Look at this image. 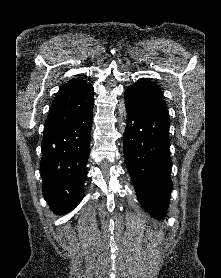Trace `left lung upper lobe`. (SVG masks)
<instances>
[{"label": "left lung upper lobe", "instance_id": "5c2ea615", "mask_svg": "<svg viewBox=\"0 0 221 278\" xmlns=\"http://www.w3.org/2000/svg\"><path fill=\"white\" fill-rule=\"evenodd\" d=\"M125 104L143 112L167 111L163 94L150 80H140L129 86L124 94Z\"/></svg>", "mask_w": 221, "mask_h": 278}]
</instances>
